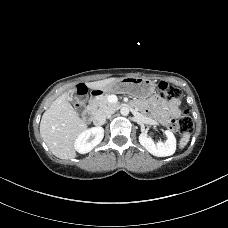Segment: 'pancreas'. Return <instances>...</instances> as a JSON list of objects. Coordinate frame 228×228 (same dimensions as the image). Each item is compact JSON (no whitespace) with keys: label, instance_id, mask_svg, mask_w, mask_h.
Segmentation results:
<instances>
[{"label":"pancreas","instance_id":"1","mask_svg":"<svg viewBox=\"0 0 228 228\" xmlns=\"http://www.w3.org/2000/svg\"><path fill=\"white\" fill-rule=\"evenodd\" d=\"M110 95H103L98 97L92 102V107L96 112H103L108 110H115L119 106V103L109 102Z\"/></svg>","mask_w":228,"mask_h":228}]
</instances>
